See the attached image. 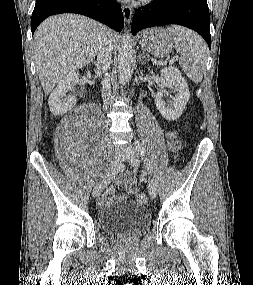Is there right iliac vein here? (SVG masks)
I'll list each match as a JSON object with an SVG mask.
<instances>
[{
    "mask_svg": "<svg viewBox=\"0 0 253 285\" xmlns=\"http://www.w3.org/2000/svg\"><path fill=\"white\" fill-rule=\"evenodd\" d=\"M123 160V152L119 151L118 154L115 156L114 160L111 162V165L108 169L106 175L99 181V183L95 186L93 190V196L98 197L107 184L111 181L113 175L118 171L121 163Z\"/></svg>",
    "mask_w": 253,
    "mask_h": 285,
    "instance_id": "right-iliac-vein-1",
    "label": "right iliac vein"
}]
</instances>
